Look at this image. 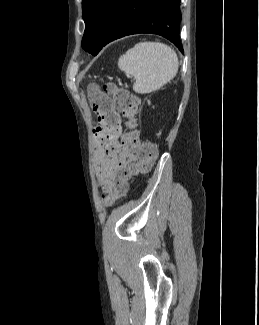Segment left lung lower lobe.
<instances>
[{"label": "left lung lower lobe", "instance_id": "obj_1", "mask_svg": "<svg viewBox=\"0 0 259 325\" xmlns=\"http://www.w3.org/2000/svg\"><path fill=\"white\" fill-rule=\"evenodd\" d=\"M181 0H122L113 15L102 47L118 38L154 33L170 40L183 52L180 40Z\"/></svg>", "mask_w": 259, "mask_h": 325}]
</instances>
